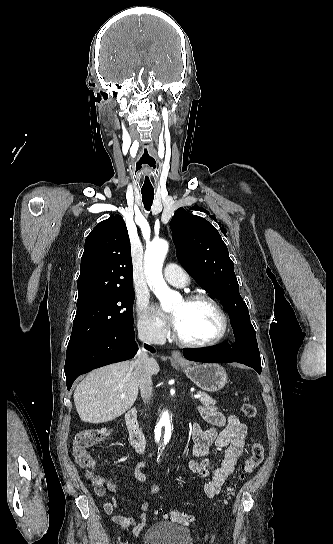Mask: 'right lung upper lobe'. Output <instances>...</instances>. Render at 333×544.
<instances>
[{"mask_svg": "<svg viewBox=\"0 0 333 544\" xmlns=\"http://www.w3.org/2000/svg\"><path fill=\"white\" fill-rule=\"evenodd\" d=\"M80 270L78 300L133 289L130 241L120 215L100 222L87 236Z\"/></svg>", "mask_w": 333, "mask_h": 544, "instance_id": "1", "label": "right lung upper lobe"}]
</instances>
